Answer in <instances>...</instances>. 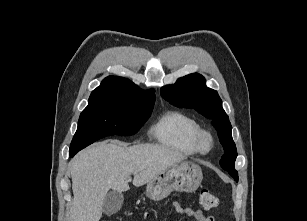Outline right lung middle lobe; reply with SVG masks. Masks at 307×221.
Listing matches in <instances>:
<instances>
[{
  "instance_id": "dd1d6c3e",
  "label": "right lung middle lobe",
  "mask_w": 307,
  "mask_h": 221,
  "mask_svg": "<svg viewBox=\"0 0 307 221\" xmlns=\"http://www.w3.org/2000/svg\"><path fill=\"white\" fill-rule=\"evenodd\" d=\"M154 101L101 100L89 102L79 117L70 156L91 143L112 135H133L149 118Z\"/></svg>"
}]
</instances>
